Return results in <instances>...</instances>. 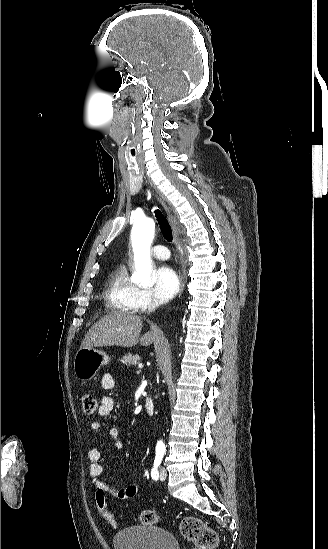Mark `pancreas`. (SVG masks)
Listing matches in <instances>:
<instances>
[{"label":"pancreas","mask_w":328,"mask_h":549,"mask_svg":"<svg viewBox=\"0 0 328 549\" xmlns=\"http://www.w3.org/2000/svg\"><path fill=\"white\" fill-rule=\"evenodd\" d=\"M140 359L139 355H132V353H128L123 357L124 363H128V365H140Z\"/></svg>","instance_id":"obj_1"}]
</instances>
